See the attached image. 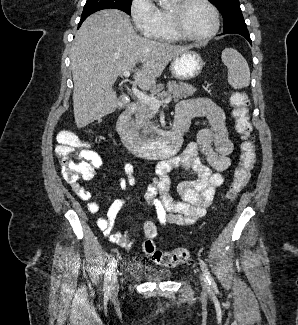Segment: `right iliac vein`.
Wrapping results in <instances>:
<instances>
[{
    "instance_id": "obj_1",
    "label": "right iliac vein",
    "mask_w": 298,
    "mask_h": 325,
    "mask_svg": "<svg viewBox=\"0 0 298 325\" xmlns=\"http://www.w3.org/2000/svg\"><path fill=\"white\" fill-rule=\"evenodd\" d=\"M118 289H119L118 277L116 274H114L109 284V293L112 295L116 294L118 292Z\"/></svg>"
}]
</instances>
